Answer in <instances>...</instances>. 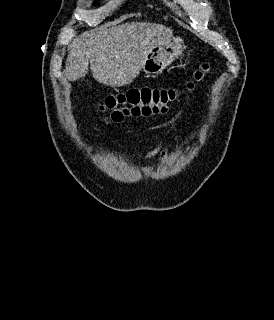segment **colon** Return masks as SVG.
Masks as SVG:
<instances>
[{
  "instance_id": "obj_1",
  "label": "colon",
  "mask_w": 274,
  "mask_h": 320,
  "mask_svg": "<svg viewBox=\"0 0 274 320\" xmlns=\"http://www.w3.org/2000/svg\"><path fill=\"white\" fill-rule=\"evenodd\" d=\"M210 65L203 63L193 78L182 87H138L107 96L98 106V111H107L106 122H119L126 118L160 115L170 105L185 96L195 95L198 85L204 82Z\"/></svg>"
}]
</instances>
